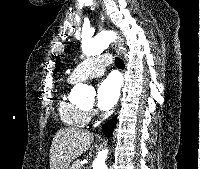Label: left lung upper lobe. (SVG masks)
I'll return each instance as SVG.
<instances>
[{"label":"left lung upper lobe","instance_id":"1","mask_svg":"<svg viewBox=\"0 0 200 169\" xmlns=\"http://www.w3.org/2000/svg\"><path fill=\"white\" fill-rule=\"evenodd\" d=\"M60 58L59 57H57L56 58V68H55V70H54V73H56L58 70H59V67H60Z\"/></svg>","mask_w":200,"mask_h":169}]
</instances>
